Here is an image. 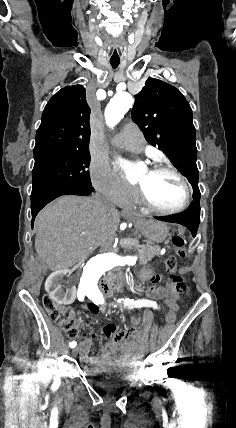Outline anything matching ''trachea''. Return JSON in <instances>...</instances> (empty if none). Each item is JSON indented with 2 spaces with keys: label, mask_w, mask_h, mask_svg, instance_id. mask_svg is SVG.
<instances>
[{
  "label": "trachea",
  "mask_w": 236,
  "mask_h": 428,
  "mask_svg": "<svg viewBox=\"0 0 236 428\" xmlns=\"http://www.w3.org/2000/svg\"><path fill=\"white\" fill-rule=\"evenodd\" d=\"M122 53L113 48L112 51L108 52V63L111 64L112 68H117L121 63Z\"/></svg>",
  "instance_id": "3493384b"
}]
</instances>
